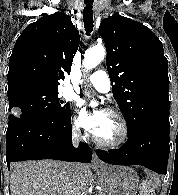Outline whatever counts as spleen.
<instances>
[{
  "label": "spleen",
  "mask_w": 178,
  "mask_h": 195,
  "mask_svg": "<svg viewBox=\"0 0 178 195\" xmlns=\"http://www.w3.org/2000/svg\"><path fill=\"white\" fill-rule=\"evenodd\" d=\"M148 184H149L151 190H153V191L158 190L159 186H160L159 177H157L155 175L148 176Z\"/></svg>",
  "instance_id": "spleen-1"
}]
</instances>
